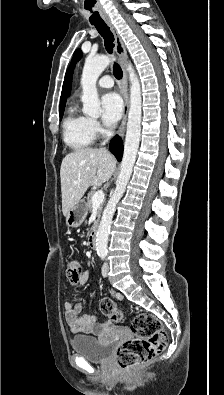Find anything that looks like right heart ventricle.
<instances>
[{"mask_svg": "<svg viewBox=\"0 0 224 395\" xmlns=\"http://www.w3.org/2000/svg\"><path fill=\"white\" fill-rule=\"evenodd\" d=\"M64 141L74 150H83L95 140L91 119L81 114L75 105L71 106L63 123Z\"/></svg>", "mask_w": 224, "mask_h": 395, "instance_id": "right-heart-ventricle-1", "label": "right heart ventricle"}]
</instances>
